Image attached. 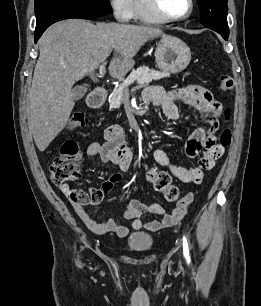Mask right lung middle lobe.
<instances>
[{
  "label": "right lung middle lobe",
  "instance_id": "obj_1",
  "mask_svg": "<svg viewBox=\"0 0 261 306\" xmlns=\"http://www.w3.org/2000/svg\"><path fill=\"white\" fill-rule=\"evenodd\" d=\"M35 3L58 4L100 10L107 13L112 12L109 0H35Z\"/></svg>",
  "mask_w": 261,
  "mask_h": 306
}]
</instances>
